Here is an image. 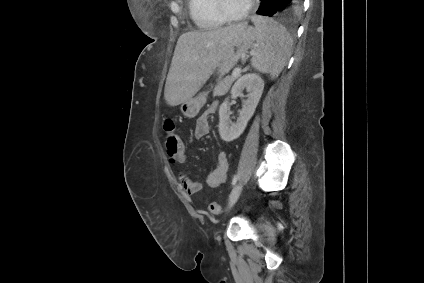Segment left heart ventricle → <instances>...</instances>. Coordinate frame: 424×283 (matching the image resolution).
Returning <instances> with one entry per match:
<instances>
[{"mask_svg":"<svg viewBox=\"0 0 424 283\" xmlns=\"http://www.w3.org/2000/svg\"><path fill=\"white\" fill-rule=\"evenodd\" d=\"M250 0H224L227 9L233 14L242 13Z\"/></svg>","mask_w":424,"mask_h":283,"instance_id":"b2bd125f","label":"left heart ventricle"}]
</instances>
